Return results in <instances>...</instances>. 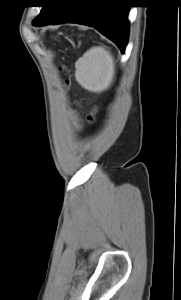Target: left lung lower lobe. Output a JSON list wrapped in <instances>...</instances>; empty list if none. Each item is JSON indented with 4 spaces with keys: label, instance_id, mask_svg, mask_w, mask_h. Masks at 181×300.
Returning <instances> with one entry per match:
<instances>
[{
    "label": "left lung lower lobe",
    "instance_id": "obj_1",
    "mask_svg": "<svg viewBox=\"0 0 181 300\" xmlns=\"http://www.w3.org/2000/svg\"><path fill=\"white\" fill-rule=\"evenodd\" d=\"M129 5L124 0H55L38 27L64 22L94 27L124 53L129 34Z\"/></svg>",
    "mask_w": 181,
    "mask_h": 300
}]
</instances>
